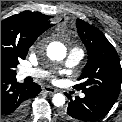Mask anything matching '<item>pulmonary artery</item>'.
Returning <instances> with one entry per match:
<instances>
[{
  "label": "pulmonary artery",
  "instance_id": "pulmonary-artery-1",
  "mask_svg": "<svg viewBox=\"0 0 122 122\" xmlns=\"http://www.w3.org/2000/svg\"><path fill=\"white\" fill-rule=\"evenodd\" d=\"M83 50L75 47L72 48L68 54L67 60L65 62L66 66L71 68L76 66L81 59L83 58ZM46 72L38 69V68H22L19 72V75L21 78H26V77H35V78H42L46 76ZM84 93H80V97H84Z\"/></svg>",
  "mask_w": 122,
  "mask_h": 122
}]
</instances>
